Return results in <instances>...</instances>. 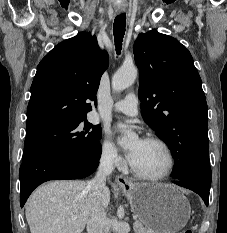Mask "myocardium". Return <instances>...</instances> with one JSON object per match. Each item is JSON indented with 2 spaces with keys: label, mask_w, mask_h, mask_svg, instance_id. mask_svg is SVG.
<instances>
[{
  "label": "myocardium",
  "mask_w": 227,
  "mask_h": 233,
  "mask_svg": "<svg viewBox=\"0 0 227 233\" xmlns=\"http://www.w3.org/2000/svg\"><path fill=\"white\" fill-rule=\"evenodd\" d=\"M143 141L149 142V143H155V144H158L159 146H161L167 154L168 166L165 169V171L160 173V174H147V173L141 172L138 169H136L132 165V163L129 161L128 165H129L130 171L136 177L144 179V180L156 181V180H162V179L167 178L169 175H171V173L173 172L174 167H175V156L173 154L172 149L164 140H162L161 138H158V137H152V136L146 137L143 139Z\"/></svg>",
  "instance_id": "1"
}]
</instances>
